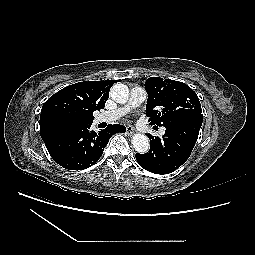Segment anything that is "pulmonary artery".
I'll return each mask as SVG.
<instances>
[{"mask_svg":"<svg viewBox=\"0 0 255 255\" xmlns=\"http://www.w3.org/2000/svg\"><path fill=\"white\" fill-rule=\"evenodd\" d=\"M146 97L147 94L145 90L140 86H136L131 89L130 96L126 105L121 106L112 111L102 112L97 116V121L103 123L114 122L121 118L122 116L126 115L130 110L138 107L142 102H144Z\"/></svg>","mask_w":255,"mask_h":255,"instance_id":"obj_1","label":"pulmonary artery"}]
</instances>
